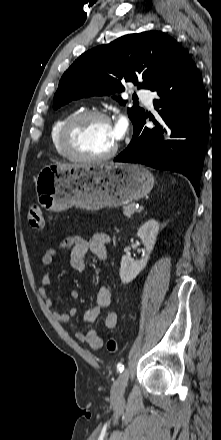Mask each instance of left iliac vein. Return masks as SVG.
I'll return each mask as SVG.
<instances>
[{"mask_svg": "<svg viewBox=\"0 0 221 440\" xmlns=\"http://www.w3.org/2000/svg\"><path fill=\"white\" fill-rule=\"evenodd\" d=\"M128 379H129V371L124 370L116 379V381L113 383L111 389V398L113 400L122 399L128 384Z\"/></svg>", "mask_w": 221, "mask_h": 440, "instance_id": "left-iliac-vein-1", "label": "left iliac vein"}]
</instances>
